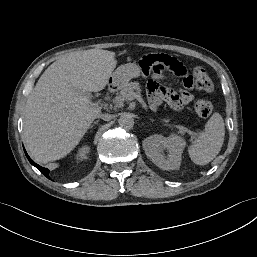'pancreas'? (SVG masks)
I'll use <instances>...</instances> for the list:
<instances>
[{"label": "pancreas", "instance_id": "pancreas-1", "mask_svg": "<svg viewBox=\"0 0 257 257\" xmlns=\"http://www.w3.org/2000/svg\"><path fill=\"white\" fill-rule=\"evenodd\" d=\"M140 85L138 82H130L121 87L119 94L113 99V103L115 107L120 108L123 107L124 101L128 100V96L134 91H139ZM167 122L168 120L165 119Z\"/></svg>", "mask_w": 257, "mask_h": 257}]
</instances>
